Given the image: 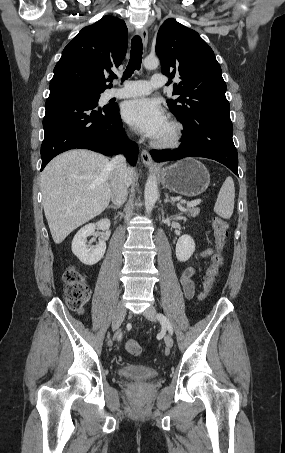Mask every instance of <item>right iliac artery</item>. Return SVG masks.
Instances as JSON below:
<instances>
[{
  "label": "right iliac artery",
  "mask_w": 285,
  "mask_h": 453,
  "mask_svg": "<svg viewBox=\"0 0 285 453\" xmlns=\"http://www.w3.org/2000/svg\"><path fill=\"white\" fill-rule=\"evenodd\" d=\"M118 339H119V340L121 339V334L118 336Z\"/></svg>",
  "instance_id": "82829eb1"
}]
</instances>
